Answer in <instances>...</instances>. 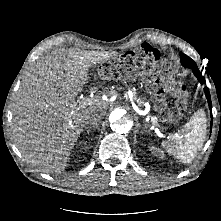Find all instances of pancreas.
Returning <instances> with one entry per match:
<instances>
[{
    "label": "pancreas",
    "instance_id": "1",
    "mask_svg": "<svg viewBox=\"0 0 221 221\" xmlns=\"http://www.w3.org/2000/svg\"><path fill=\"white\" fill-rule=\"evenodd\" d=\"M137 102H138L139 104L142 103L141 99H137Z\"/></svg>",
    "mask_w": 221,
    "mask_h": 221
}]
</instances>
